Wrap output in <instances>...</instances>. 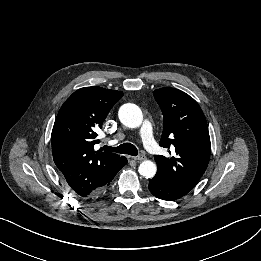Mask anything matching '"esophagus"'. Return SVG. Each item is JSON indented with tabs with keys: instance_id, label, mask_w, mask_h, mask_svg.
<instances>
[{
	"instance_id": "esophagus-1",
	"label": "esophagus",
	"mask_w": 261,
	"mask_h": 261,
	"mask_svg": "<svg viewBox=\"0 0 261 261\" xmlns=\"http://www.w3.org/2000/svg\"><path fill=\"white\" fill-rule=\"evenodd\" d=\"M146 157L144 156V155H138V156H134V157H132V159L133 160H135V161H142V160H144Z\"/></svg>"
}]
</instances>
